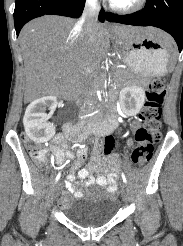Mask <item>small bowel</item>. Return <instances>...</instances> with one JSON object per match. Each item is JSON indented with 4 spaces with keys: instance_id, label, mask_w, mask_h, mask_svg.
Instances as JSON below:
<instances>
[{
    "instance_id": "1",
    "label": "small bowel",
    "mask_w": 183,
    "mask_h": 246,
    "mask_svg": "<svg viewBox=\"0 0 183 246\" xmlns=\"http://www.w3.org/2000/svg\"><path fill=\"white\" fill-rule=\"evenodd\" d=\"M115 128V125L112 123H102V124H96L92 131L94 134L98 136H106L108 137V133H112ZM86 136V134H85ZM129 144H131V141H128ZM52 151L57 156L58 159L62 160L64 158L72 159L73 153L68 150L67 143L65 140V137L62 135H57L53 141H52ZM87 157V149L85 147L81 148L77 152V160L75 163L71 166L69 170V174L67 176V183L66 187L69 192L74 193L78 195V184L74 182L75 180V173L77 172V177L81 179L82 184L86 187L92 186L94 184H98L102 187L107 188L111 193H114L116 191V181L119 177L118 171L116 169V164L118 161V157H101L100 151L94 150V157L93 161L90 164L88 168L79 169L85 158ZM103 162L107 164L110 172L104 176V175H97V176H91L90 174L92 172H97L99 168L102 166ZM69 198L66 195H63L61 197V201L63 204H66L68 202Z\"/></svg>"
}]
</instances>
